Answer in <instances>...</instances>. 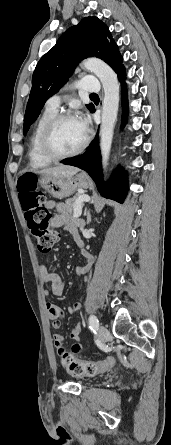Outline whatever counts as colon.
<instances>
[{
	"instance_id": "1",
	"label": "colon",
	"mask_w": 171,
	"mask_h": 445,
	"mask_svg": "<svg viewBox=\"0 0 171 445\" xmlns=\"http://www.w3.org/2000/svg\"><path fill=\"white\" fill-rule=\"evenodd\" d=\"M17 189L24 217L39 251L48 252L59 240V233L51 223V214L46 207V199L37 187L35 176H24L18 180ZM67 371L77 377L94 376L107 369L110 359L100 361H79L69 352L58 353Z\"/></svg>"
}]
</instances>
